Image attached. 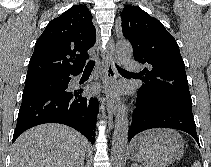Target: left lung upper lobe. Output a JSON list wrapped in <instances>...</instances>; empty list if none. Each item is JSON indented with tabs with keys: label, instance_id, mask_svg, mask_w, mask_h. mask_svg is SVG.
<instances>
[{
	"label": "left lung upper lobe",
	"instance_id": "obj_1",
	"mask_svg": "<svg viewBox=\"0 0 211 167\" xmlns=\"http://www.w3.org/2000/svg\"><path fill=\"white\" fill-rule=\"evenodd\" d=\"M122 31L131 42L134 59L146 63L139 92L149 98L192 109L185 64L174 37L160 21L139 7L125 6Z\"/></svg>",
	"mask_w": 211,
	"mask_h": 167
}]
</instances>
